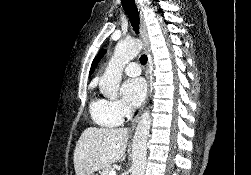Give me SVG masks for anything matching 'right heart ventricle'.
I'll list each match as a JSON object with an SVG mask.
<instances>
[{
	"mask_svg": "<svg viewBox=\"0 0 251 175\" xmlns=\"http://www.w3.org/2000/svg\"><path fill=\"white\" fill-rule=\"evenodd\" d=\"M89 111L94 121L103 127L115 128L119 122L114 119L109 110V102L102 98H93Z\"/></svg>",
	"mask_w": 251,
	"mask_h": 175,
	"instance_id": "e07e8e85",
	"label": "right heart ventricle"
}]
</instances>
